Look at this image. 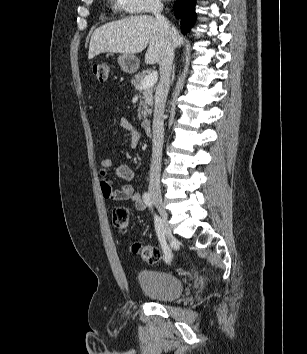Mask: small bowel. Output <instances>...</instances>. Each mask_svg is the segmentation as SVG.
<instances>
[{
    "instance_id": "small-bowel-1",
    "label": "small bowel",
    "mask_w": 307,
    "mask_h": 354,
    "mask_svg": "<svg viewBox=\"0 0 307 354\" xmlns=\"http://www.w3.org/2000/svg\"><path fill=\"white\" fill-rule=\"evenodd\" d=\"M125 131L129 134L130 145L136 146L141 139V133L133 127L131 122L123 118L118 124L113 126L109 135L116 137L120 132ZM112 169V162L109 159H104L100 165V175L102 179L100 186L104 198L113 201H127L131 202L137 210H144L146 204L141 193L137 192L134 186L130 183L123 184L116 187L113 181L107 177L108 172ZM115 175L127 182H131L135 177V172L127 165H119L115 168Z\"/></svg>"
}]
</instances>
